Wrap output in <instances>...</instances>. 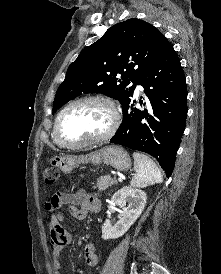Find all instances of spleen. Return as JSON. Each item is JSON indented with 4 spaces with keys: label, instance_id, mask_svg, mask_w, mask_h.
<instances>
[{
    "label": "spleen",
    "instance_id": "1",
    "mask_svg": "<svg viewBox=\"0 0 221 274\" xmlns=\"http://www.w3.org/2000/svg\"><path fill=\"white\" fill-rule=\"evenodd\" d=\"M133 158L135 174L131 186L144 188L163 181L161 171L148 156L135 152Z\"/></svg>",
    "mask_w": 221,
    "mask_h": 274
}]
</instances>
